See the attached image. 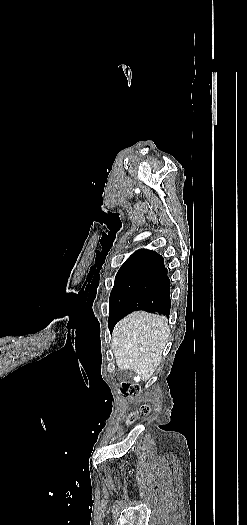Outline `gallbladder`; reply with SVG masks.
Masks as SVG:
<instances>
[{
  "label": "gallbladder",
  "instance_id": "gallbladder-1",
  "mask_svg": "<svg viewBox=\"0 0 247 525\" xmlns=\"http://www.w3.org/2000/svg\"><path fill=\"white\" fill-rule=\"evenodd\" d=\"M130 372H131L130 367L127 365H124L120 367L119 371L116 373V378L118 380H124L127 375H129V377H132V373Z\"/></svg>",
  "mask_w": 247,
  "mask_h": 525
}]
</instances>
